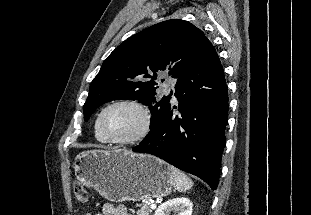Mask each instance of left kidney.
I'll return each instance as SVG.
<instances>
[{"mask_svg": "<svg viewBox=\"0 0 311 215\" xmlns=\"http://www.w3.org/2000/svg\"><path fill=\"white\" fill-rule=\"evenodd\" d=\"M192 207L188 198H175L161 204L154 215H169L171 212L177 215H192Z\"/></svg>", "mask_w": 311, "mask_h": 215, "instance_id": "left-kidney-1", "label": "left kidney"}]
</instances>
